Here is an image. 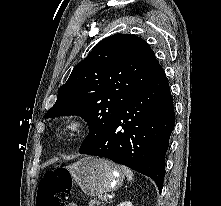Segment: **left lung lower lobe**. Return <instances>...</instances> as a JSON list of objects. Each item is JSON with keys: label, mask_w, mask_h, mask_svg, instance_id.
Listing matches in <instances>:
<instances>
[{"label": "left lung lower lobe", "mask_w": 221, "mask_h": 206, "mask_svg": "<svg viewBox=\"0 0 221 206\" xmlns=\"http://www.w3.org/2000/svg\"><path fill=\"white\" fill-rule=\"evenodd\" d=\"M173 129V100L164 73L136 94L109 129L79 153L126 165L152 178L161 191Z\"/></svg>", "instance_id": "obj_1"}]
</instances>
